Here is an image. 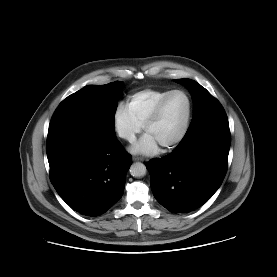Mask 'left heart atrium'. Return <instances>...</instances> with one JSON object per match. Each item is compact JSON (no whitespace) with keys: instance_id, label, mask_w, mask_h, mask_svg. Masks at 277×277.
<instances>
[{"instance_id":"obj_1","label":"left heart atrium","mask_w":277,"mask_h":277,"mask_svg":"<svg viewBox=\"0 0 277 277\" xmlns=\"http://www.w3.org/2000/svg\"><path fill=\"white\" fill-rule=\"evenodd\" d=\"M159 144L149 133H145L135 144L130 148L133 154L152 155L158 152Z\"/></svg>"}]
</instances>
